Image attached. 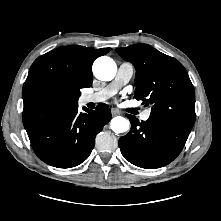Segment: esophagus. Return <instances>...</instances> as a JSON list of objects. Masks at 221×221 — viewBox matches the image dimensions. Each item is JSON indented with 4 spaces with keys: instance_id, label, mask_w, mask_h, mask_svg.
<instances>
[{
    "instance_id": "esophagus-1",
    "label": "esophagus",
    "mask_w": 221,
    "mask_h": 221,
    "mask_svg": "<svg viewBox=\"0 0 221 221\" xmlns=\"http://www.w3.org/2000/svg\"><path fill=\"white\" fill-rule=\"evenodd\" d=\"M111 112H112V115H113V116L119 115V114L121 113V112L118 111L117 109H112Z\"/></svg>"
}]
</instances>
